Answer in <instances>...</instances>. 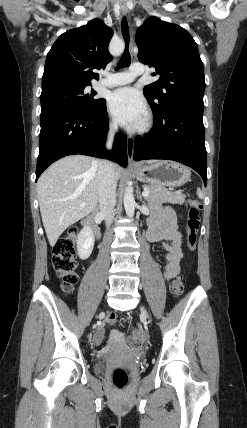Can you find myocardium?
<instances>
[{"mask_svg":"<svg viewBox=\"0 0 247 428\" xmlns=\"http://www.w3.org/2000/svg\"><path fill=\"white\" fill-rule=\"evenodd\" d=\"M151 125H152V119H151V117H148V118H146L145 122L141 126V130L147 131L148 129H150Z\"/></svg>","mask_w":247,"mask_h":428,"instance_id":"f54148a6","label":"myocardium"}]
</instances>
